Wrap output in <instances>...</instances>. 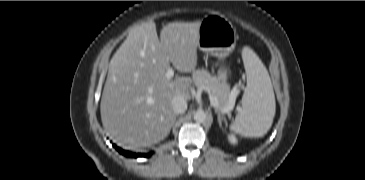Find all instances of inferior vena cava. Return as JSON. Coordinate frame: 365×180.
<instances>
[{
    "instance_id": "inferior-vena-cava-1",
    "label": "inferior vena cava",
    "mask_w": 365,
    "mask_h": 180,
    "mask_svg": "<svg viewBox=\"0 0 365 180\" xmlns=\"http://www.w3.org/2000/svg\"><path fill=\"white\" fill-rule=\"evenodd\" d=\"M173 111L176 114L184 113L187 110V102L182 96H174L172 99Z\"/></svg>"
}]
</instances>
